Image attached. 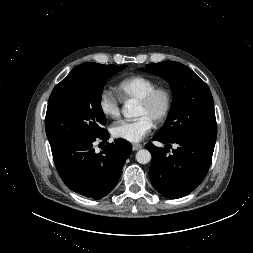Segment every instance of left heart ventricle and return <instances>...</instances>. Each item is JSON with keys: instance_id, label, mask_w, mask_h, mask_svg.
<instances>
[{"instance_id": "1", "label": "left heart ventricle", "mask_w": 253, "mask_h": 253, "mask_svg": "<svg viewBox=\"0 0 253 253\" xmlns=\"http://www.w3.org/2000/svg\"><path fill=\"white\" fill-rule=\"evenodd\" d=\"M164 105V98L162 96L158 97L153 105L151 106H144L142 104H138L136 116H147L154 121L156 115L162 110Z\"/></svg>"}]
</instances>
